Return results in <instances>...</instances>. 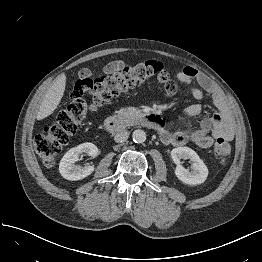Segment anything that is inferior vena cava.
<instances>
[{"mask_svg":"<svg viewBox=\"0 0 262 262\" xmlns=\"http://www.w3.org/2000/svg\"><path fill=\"white\" fill-rule=\"evenodd\" d=\"M128 137H129V132L126 130H121L115 134L114 140L117 143H123L128 139Z\"/></svg>","mask_w":262,"mask_h":262,"instance_id":"602c4592","label":"inferior vena cava"}]
</instances>
